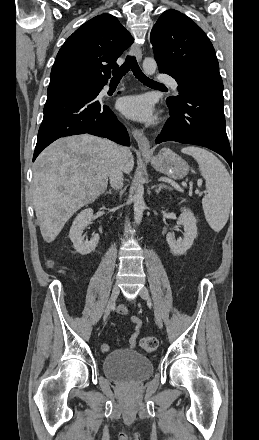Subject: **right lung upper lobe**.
Listing matches in <instances>:
<instances>
[{"mask_svg":"<svg viewBox=\"0 0 259 440\" xmlns=\"http://www.w3.org/2000/svg\"><path fill=\"white\" fill-rule=\"evenodd\" d=\"M133 38L110 14L96 16L80 26L60 48L51 70L47 93L73 88H101L117 68V58Z\"/></svg>","mask_w":259,"mask_h":440,"instance_id":"obj_1","label":"right lung upper lobe"}]
</instances>
